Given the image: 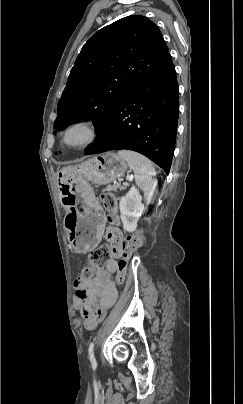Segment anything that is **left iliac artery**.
<instances>
[{
    "mask_svg": "<svg viewBox=\"0 0 243 404\" xmlns=\"http://www.w3.org/2000/svg\"><path fill=\"white\" fill-rule=\"evenodd\" d=\"M93 350H94V342H91L90 345H89V349H88L89 359H90V362L92 364V367L95 369L97 367V362H96V359L94 357Z\"/></svg>",
    "mask_w": 243,
    "mask_h": 404,
    "instance_id": "obj_1",
    "label": "left iliac artery"
}]
</instances>
